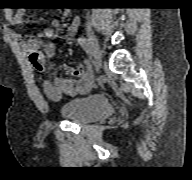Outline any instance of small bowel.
I'll return each mask as SVG.
<instances>
[{
  "label": "small bowel",
  "instance_id": "small-bowel-1",
  "mask_svg": "<svg viewBox=\"0 0 192 180\" xmlns=\"http://www.w3.org/2000/svg\"><path fill=\"white\" fill-rule=\"evenodd\" d=\"M23 11L18 10L12 17L14 24L23 22ZM59 26L57 20L51 22V26L37 33L35 38L23 42V48L29 54L30 60L35 69L45 77L43 89L48 98L59 101L63 97H72L77 94L88 92L94 82L93 75L82 63L77 67H65V72L69 77H57L54 72V65L46 61L55 54V46L52 42H44L43 39H50L54 34V28ZM78 21L74 19L69 26L67 33L69 36L75 35Z\"/></svg>",
  "mask_w": 192,
  "mask_h": 180
}]
</instances>
